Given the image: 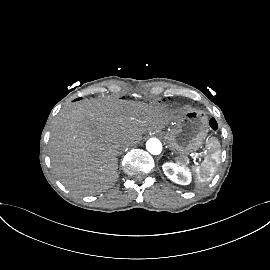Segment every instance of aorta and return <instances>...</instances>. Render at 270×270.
<instances>
[{
	"mask_svg": "<svg viewBox=\"0 0 270 270\" xmlns=\"http://www.w3.org/2000/svg\"><path fill=\"white\" fill-rule=\"evenodd\" d=\"M146 149L152 155H159L162 151V143L157 138H150L146 142Z\"/></svg>",
	"mask_w": 270,
	"mask_h": 270,
	"instance_id": "aorta-1",
	"label": "aorta"
}]
</instances>
